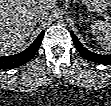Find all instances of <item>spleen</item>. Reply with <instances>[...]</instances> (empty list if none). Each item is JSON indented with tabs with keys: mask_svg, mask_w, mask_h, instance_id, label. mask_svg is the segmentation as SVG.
I'll list each match as a JSON object with an SVG mask.
<instances>
[{
	"mask_svg": "<svg viewBox=\"0 0 111 106\" xmlns=\"http://www.w3.org/2000/svg\"><path fill=\"white\" fill-rule=\"evenodd\" d=\"M91 29L102 48L111 52V22L95 21L91 25Z\"/></svg>",
	"mask_w": 111,
	"mask_h": 106,
	"instance_id": "1",
	"label": "spleen"
}]
</instances>
